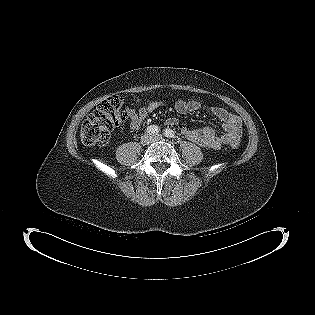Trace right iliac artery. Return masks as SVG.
<instances>
[{"instance_id": "right-iliac-artery-1", "label": "right iliac artery", "mask_w": 315, "mask_h": 315, "mask_svg": "<svg viewBox=\"0 0 315 315\" xmlns=\"http://www.w3.org/2000/svg\"><path fill=\"white\" fill-rule=\"evenodd\" d=\"M159 131H160V128L156 125L148 126L146 129V132L149 133L150 135L157 134Z\"/></svg>"}]
</instances>
